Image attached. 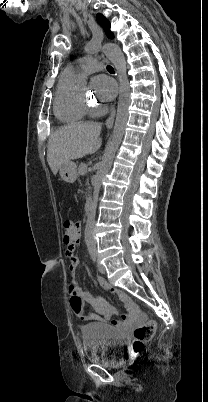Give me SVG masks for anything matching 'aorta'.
<instances>
[{
  "label": "aorta",
  "mask_w": 208,
  "mask_h": 402,
  "mask_svg": "<svg viewBox=\"0 0 208 402\" xmlns=\"http://www.w3.org/2000/svg\"><path fill=\"white\" fill-rule=\"evenodd\" d=\"M103 52L112 62L116 74L119 80V100L117 108L116 122L112 134V140L104 154L103 168L95 174V181L93 185V200L90 208V214H88L85 222V234L83 242L86 248L89 250L92 258L99 256L97 244L94 241V231L96 229V208L98 204V197L102 194L103 176L107 174V171L111 168V164L115 158V154L120 146V142L123 138L124 130L127 124L128 108L130 104V84L127 78L126 62L121 48L116 44H105Z\"/></svg>",
  "instance_id": "obj_1"
}]
</instances>
